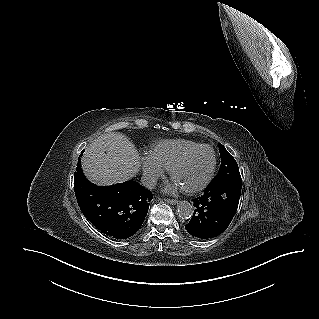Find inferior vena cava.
I'll use <instances>...</instances> for the list:
<instances>
[{"mask_svg": "<svg viewBox=\"0 0 319 319\" xmlns=\"http://www.w3.org/2000/svg\"><path fill=\"white\" fill-rule=\"evenodd\" d=\"M141 184L147 189H153L157 184V178L154 175L144 174L141 177Z\"/></svg>", "mask_w": 319, "mask_h": 319, "instance_id": "obj_1", "label": "inferior vena cava"}]
</instances>
